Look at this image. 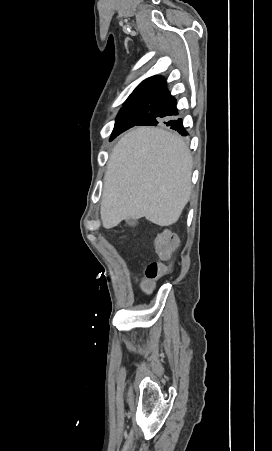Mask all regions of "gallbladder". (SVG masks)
I'll return each instance as SVG.
<instances>
[{"label":"gallbladder","mask_w":272,"mask_h":451,"mask_svg":"<svg viewBox=\"0 0 272 451\" xmlns=\"http://www.w3.org/2000/svg\"><path fill=\"white\" fill-rule=\"evenodd\" d=\"M129 226H135V220H127Z\"/></svg>","instance_id":"bac80fb5"}]
</instances>
